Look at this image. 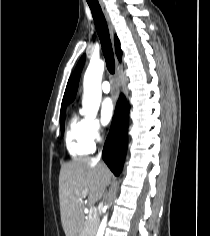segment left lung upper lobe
I'll return each instance as SVG.
<instances>
[{
	"instance_id": "left-lung-upper-lobe-1",
	"label": "left lung upper lobe",
	"mask_w": 210,
	"mask_h": 236,
	"mask_svg": "<svg viewBox=\"0 0 210 236\" xmlns=\"http://www.w3.org/2000/svg\"><path fill=\"white\" fill-rule=\"evenodd\" d=\"M85 63V55H83L76 67V71H75V75H74V82H73V89H72V93H71V98L70 100L72 101L76 95L77 92V88H78V82H79V78H80V74L83 68V65Z\"/></svg>"
}]
</instances>
